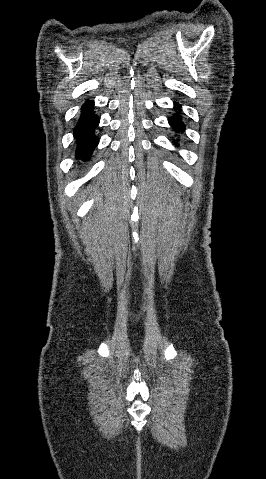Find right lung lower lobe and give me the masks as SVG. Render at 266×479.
Segmentation results:
<instances>
[{"label": "right lung lower lobe", "mask_w": 266, "mask_h": 479, "mask_svg": "<svg viewBox=\"0 0 266 479\" xmlns=\"http://www.w3.org/2000/svg\"><path fill=\"white\" fill-rule=\"evenodd\" d=\"M94 102L86 101L81 108V116L74 128L76 142L75 158L80 162L90 160L91 155L98 145L99 138L95 135V129L99 124V117L93 111Z\"/></svg>", "instance_id": "1"}]
</instances>
